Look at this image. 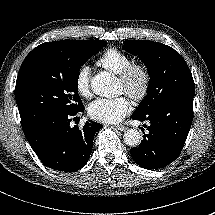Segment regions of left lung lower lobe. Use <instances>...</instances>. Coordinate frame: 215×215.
Here are the masks:
<instances>
[{"label":"left lung lower lobe","instance_id":"left-lung-lower-lobe-1","mask_svg":"<svg viewBox=\"0 0 215 215\" xmlns=\"http://www.w3.org/2000/svg\"><path fill=\"white\" fill-rule=\"evenodd\" d=\"M131 118L149 121L148 134L138 147L130 150L133 160L151 170L166 167L176 160L184 146L193 120V97H185L157 106Z\"/></svg>","mask_w":215,"mask_h":215}]
</instances>
